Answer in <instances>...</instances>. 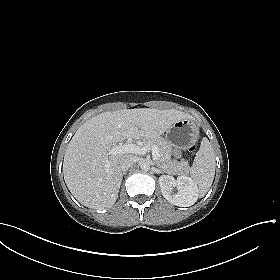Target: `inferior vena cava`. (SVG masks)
Returning <instances> with one entry per match:
<instances>
[{
  "instance_id": "obj_1",
  "label": "inferior vena cava",
  "mask_w": 280,
  "mask_h": 280,
  "mask_svg": "<svg viewBox=\"0 0 280 280\" xmlns=\"http://www.w3.org/2000/svg\"><path fill=\"white\" fill-rule=\"evenodd\" d=\"M137 161L136 156L127 154L120 160V168L122 171L128 170Z\"/></svg>"
}]
</instances>
